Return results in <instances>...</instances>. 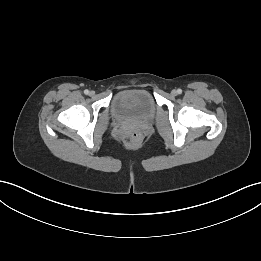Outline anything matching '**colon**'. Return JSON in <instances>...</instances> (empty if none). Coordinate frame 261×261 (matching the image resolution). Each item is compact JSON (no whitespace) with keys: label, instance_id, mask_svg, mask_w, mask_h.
<instances>
[{"label":"colon","instance_id":"5ec220e1","mask_svg":"<svg viewBox=\"0 0 261 261\" xmlns=\"http://www.w3.org/2000/svg\"><path fill=\"white\" fill-rule=\"evenodd\" d=\"M130 138L132 141H138L140 139V134L138 132H132Z\"/></svg>","mask_w":261,"mask_h":261}]
</instances>
